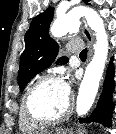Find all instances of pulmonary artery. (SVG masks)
Wrapping results in <instances>:
<instances>
[{"label":"pulmonary artery","instance_id":"e3ab8cb5","mask_svg":"<svg viewBox=\"0 0 116 134\" xmlns=\"http://www.w3.org/2000/svg\"><path fill=\"white\" fill-rule=\"evenodd\" d=\"M82 49H83V42L77 39L71 40L66 46V50L69 53H79L82 51Z\"/></svg>","mask_w":116,"mask_h":134}]
</instances>
